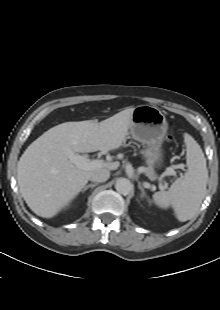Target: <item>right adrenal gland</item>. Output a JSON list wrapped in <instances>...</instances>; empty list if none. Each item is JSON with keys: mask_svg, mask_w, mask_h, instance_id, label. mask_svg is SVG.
Segmentation results:
<instances>
[{"mask_svg": "<svg viewBox=\"0 0 220 310\" xmlns=\"http://www.w3.org/2000/svg\"><path fill=\"white\" fill-rule=\"evenodd\" d=\"M98 185V183H94V184H89V185H86L83 189H82V192H85L88 188H94Z\"/></svg>", "mask_w": 220, "mask_h": 310, "instance_id": "1", "label": "right adrenal gland"}]
</instances>
